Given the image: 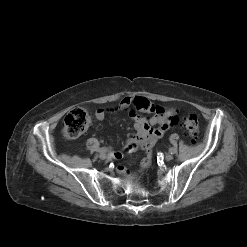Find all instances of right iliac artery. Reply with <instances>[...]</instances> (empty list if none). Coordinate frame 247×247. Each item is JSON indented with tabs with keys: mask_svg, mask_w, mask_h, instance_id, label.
<instances>
[{
	"mask_svg": "<svg viewBox=\"0 0 247 247\" xmlns=\"http://www.w3.org/2000/svg\"><path fill=\"white\" fill-rule=\"evenodd\" d=\"M109 149L107 147H102L100 148L98 151L101 153V152H107Z\"/></svg>",
	"mask_w": 247,
	"mask_h": 247,
	"instance_id": "1",
	"label": "right iliac artery"
}]
</instances>
